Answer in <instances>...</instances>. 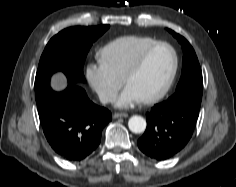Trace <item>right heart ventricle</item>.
Masks as SVG:
<instances>
[{
  "label": "right heart ventricle",
  "instance_id": "right-heart-ventricle-1",
  "mask_svg": "<svg viewBox=\"0 0 236 187\" xmlns=\"http://www.w3.org/2000/svg\"><path fill=\"white\" fill-rule=\"evenodd\" d=\"M157 42L149 36L127 35L105 44L97 53L98 61L116 77L123 79L137 56Z\"/></svg>",
  "mask_w": 236,
  "mask_h": 187
}]
</instances>
